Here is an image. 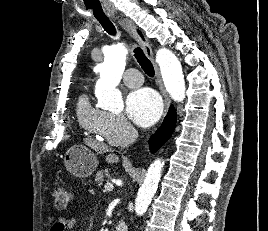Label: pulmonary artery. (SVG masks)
I'll return each mask as SVG.
<instances>
[{"instance_id":"1","label":"pulmonary artery","mask_w":268,"mask_h":231,"mask_svg":"<svg viewBox=\"0 0 268 231\" xmlns=\"http://www.w3.org/2000/svg\"><path fill=\"white\" fill-rule=\"evenodd\" d=\"M122 80L129 87H137L142 84V74L136 68L131 67L125 71Z\"/></svg>"}]
</instances>
